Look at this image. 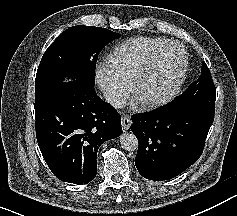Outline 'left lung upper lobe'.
<instances>
[{
  "instance_id": "1",
  "label": "left lung upper lobe",
  "mask_w": 237,
  "mask_h": 216,
  "mask_svg": "<svg viewBox=\"0 0 237 216\" xmlns=\"http://www.w3.org/2000/svg\"><path fill=\"white\" fill-rule=\"evenodd\" d=\"M216 88L211 73L205 62H202L201 75L175 99L202 109L213 111L215 106Z\"/></svg>"
}]
</instances>
